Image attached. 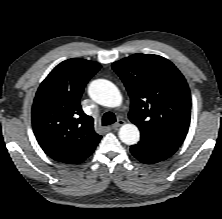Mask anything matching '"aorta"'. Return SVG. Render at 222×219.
Instances as JSON below:
<instances>
[{"instance_id": "762f6f07", "label": "aorta", "mask_w": 222, "mask_h": 219, "mask_svg": "<svg viewBox=\"0 0 222 219\" xmlns=\"http://www.w3.org/2000/svg\"><path fill=\"white\" fill-rule=\"evenodd\" d=\"M88 93L95 102L106 107H117L122 103L119 89L106 79L91 82ZM119 138L127 145H134L140 139L139 129L134 124H124L119 130Z\"/></svg>"}]
</instances>
